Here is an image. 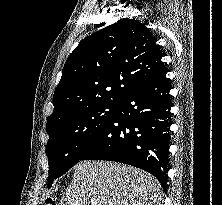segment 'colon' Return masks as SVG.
Listing matches in <instances>:
<instances>
[{
    "mask_svg": "<svg viewBox=\"0 0 222 205\" xmlns=\"http://www.w3.org/2000/svg\"><path fill=\"white\" fill-rule=\"evenodd\" d=\"M43 205H55V200L52 198L47 199Z\"/></svg>",
    "mask_w": 222,
    "mask_h": 205,
    "instance_id": "colon-1",
    "label": "colon"
}]
</instances>
